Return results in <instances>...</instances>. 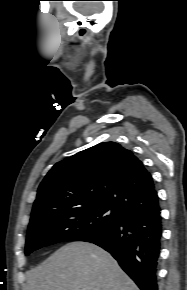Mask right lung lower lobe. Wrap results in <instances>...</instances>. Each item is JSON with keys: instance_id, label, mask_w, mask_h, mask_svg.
Returning <instances> with one entry per match:
<instances>
[{"instance_id": "right-lung-lower-lobe-1", "label": "right lung lower lobe", "mask_w": 187, "mask_h": 290, "mask_svg": "<svg viewBox=\"0 0 187 290\" xmlns=\"http://www.w3.org/2000/svg\"><path fill=\"white\" fill-rule=\"evenodd\" d=\"M112 254L141 290H158L162 242L160 206L122 215L120 221L84 239Z\"/></svg>"}]
</instances>
